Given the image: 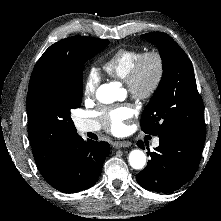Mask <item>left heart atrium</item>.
<instances>
[{
  "mask_svg": "<svg viewBox=\"0 0 221 221\" xmlns=\"http://www.w3.org/2000/svg\"><path fill=\"white\" fill-rule=\"evenodd\" d=\"M97 115L111 132L119 134L125 130L126 122L133 116V109L130 106L122 105L104 108Z\"/></svg>",
  "mask_w": 221,
  "mask_h": 221,
  "instance_id": "1",
  "label": "left heart atrium"
}]
</instances>
